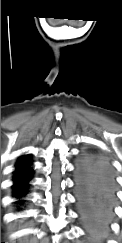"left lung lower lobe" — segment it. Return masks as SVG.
I'll use <instances>...</instances> for the list:
<instances>
[{
    "label": "left lung lower lobe",
    "mask_w": 122,
    "mask_h": 243,
    "mask_svg": "<svg viewBox=\"0 0 122 243\" xmlns=\"http://www.w3.org/2000/svg\"><path fill=\"white\" fill-rule=\"evenodd\" d=\"M87 151L75 170L77 205L88 242L103 243L114 209L115 177L106 157Z\"/></svg>",
    "instance_id": "obj_1"
}]
</instances>
